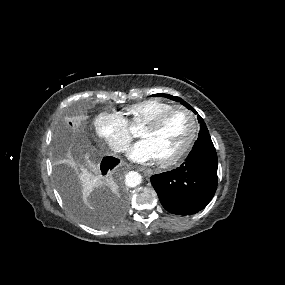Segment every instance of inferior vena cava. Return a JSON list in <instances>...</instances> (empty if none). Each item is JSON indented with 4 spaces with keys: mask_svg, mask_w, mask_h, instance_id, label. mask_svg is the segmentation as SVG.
<instances>
[{
    "mask_svg": "<svg viewBox=\"0 0 285 285\" xmlns=\"http://www.w3.org/2000/svg\"><path fill=\"white\" fill-rule=\"evenodd\" d=\"M112 150L115 151V152H121V151L126 150V146L121 144V143H115L112 146Z\"/></svg>",
    "mask_w": 285,
    "mask_h": 285,
    "instance_id": "1",
    "label": "inferior vena cava"
}]
</instances>
